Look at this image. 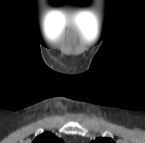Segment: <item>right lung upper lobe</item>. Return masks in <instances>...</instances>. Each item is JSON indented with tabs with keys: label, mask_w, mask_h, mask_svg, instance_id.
<instances>
[{
	"label": "right lung upper lobe",
	"mask_w": 145,
	"mask_h": 143,
	"mask_svg": "<svg viewBox=\"0 0 145 143\" xmlns=\"http://www.w3.org/2000/svg\"><path fill=\"white\" fill-rule=\"evenodd\" d=\"M33 143H63V141L52 133L44 132L43 134L37 136Z\"/></svg>",
	"instance_id": "right-lung-upper-lobe-1"
}]
</instances>
